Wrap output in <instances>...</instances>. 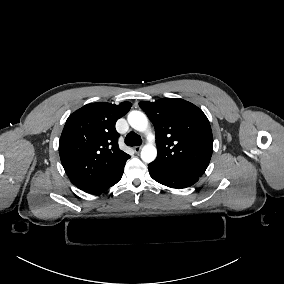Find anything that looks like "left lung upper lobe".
Wrapping results in <instances>:
<instances>
[{
    "instance_id": "1",
    "label": "left lung upper lobe",
    "mask_w": 284,
    "mask_h": 284,
    "mask_svg": "<svg viewBox=\"0 0 284 284\" xmlns=\"http://www.w3.org/2000/svg\"><path fill=\"white\" fill-rule=\"evenodd\" d=\"M139 106L155 127L158 155L152 163L202 176L213 151L211 126L203 111L180 98L142 101Z\"/></svg>"
}]
</instances>
